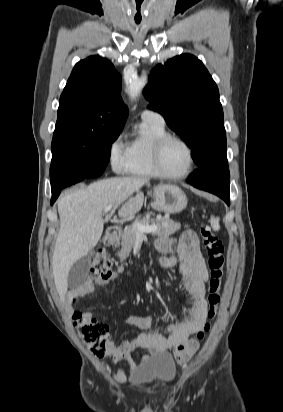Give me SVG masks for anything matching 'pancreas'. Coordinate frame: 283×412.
<instances>
[{"mask_svg":"<svg viewBox=\"0 0 283 412\" xmlns=\"http://www.w3.org/2000/svg\"><path fill=\"white\" fill-rule=\"evenodd\" d=\"M136 223H140L142 225H155L158 227L157 231L154 232L155 235L158 236H170L176 231H178L181 227L180 223H176L173 220L169 219V217H163L158 219H141L137 220ZM138 232L132 226L125 227L123 233L121 234V242L116 243V247L121 245V250L118 252V256L120 260H125L134 246L136 239H137Z\"/></svg>","mask_w":283,"mask_h":412,"instance_id":"cf45deb5","label":"pancreas"}]
</instances>
